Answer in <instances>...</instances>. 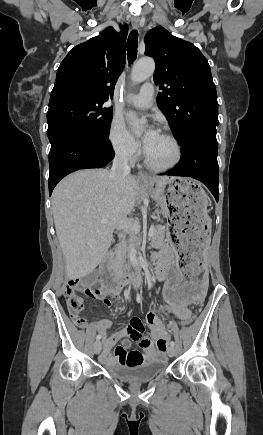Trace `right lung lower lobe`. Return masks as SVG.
<instances>
[{
    "label": "right lung lower lobe",
    "instance_id": "98d812e1",
    "mask_svg": "<svg viewBox=\"0 0 263 435\" xmlns=\"http://www.w3.org/2000/svg\"><path fill=\"white\" fill-rule=\"evenodd\" d=\"M114 158L107 139H99L79 131L58 133L49 153V193L66 175L79 169L101 168Z\"/></svg>",
    "mask_w": 263,
    "mask_h": 435
}]
</instances>
